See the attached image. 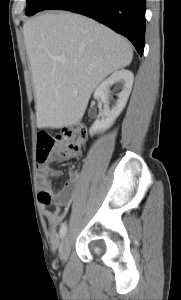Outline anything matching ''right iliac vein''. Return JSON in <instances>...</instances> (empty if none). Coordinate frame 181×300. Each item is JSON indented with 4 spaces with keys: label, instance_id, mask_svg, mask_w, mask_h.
Masks as SVG:
<instances>
[{
    "label": "right iliac vein",
    "instance_id": "right-iliac-vein-1",
    "mask_svg": "<svg viewBox=\"0 0 181 300\" xmlns=\"http://www.w3.org/2000/svg\"><path fill=\"white\" fill-rule=\"evenodd\" d=\"M71 240L69 235H66L60 245L59 256L62 261H66L68 259L70 253Z\"/></svg>",
    "mask_w": 181,
    "mask_h": 300
}]
</instances>
